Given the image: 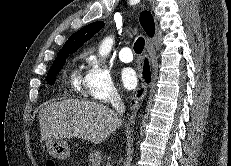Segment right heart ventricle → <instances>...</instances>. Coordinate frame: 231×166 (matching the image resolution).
Listing matches in <instances>:
<instances>
[{"label": "right heart ventricle", "mask_w": 231, "mask_h": 166, "mask_svg": "<svg viewBox=\"0 0 231 166\" xmlns=\"http://www.w3.org/2000/svg\"><path fill=\"white\" fill-rule=\"evenodd\" d=\"M84 80L81 77V73L78 69H75L71 73V86L75 92L81 94L83 90Z\"/></svg>", "instance_id": "1"}]
</instances>
